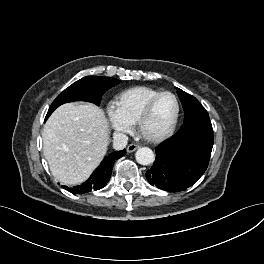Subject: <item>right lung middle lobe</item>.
<instances>
[{
    "label": "right lung middle lobe",
    "instance_id": "dd1d6c3e",
    "mask_svg": "<svg viewBox=\"0 0 264 264\" xmlns=\"http://www.w3.org/2000/svg\"><path fill=\"white\" fill-rule=\"evenodd\" d=\"M120 81L111 77L87 76L65 89L51 104L46 119L61 104L84 100L99 105L102 95Z\"/></svg>",
    "mask_w": 264,
    "mask_h": 264
}]
</instances>
